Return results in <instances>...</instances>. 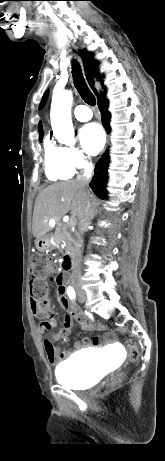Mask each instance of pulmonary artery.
<instances>
[{"label":"pulmonary artery","instance_id":"1","mask_svg":"<svg viewBox=\"0 0 165 461\" xmlns=\"http://www.w3.org/2000/svg\"><path fill=\"white\" fill-rule=\"evenodd\" d=\"M74 115L79 121H88L92 118L91 110L85 105H79L74 109Z\"/></svg>","mask_w":165,"mask_h":461}]
</instances>
